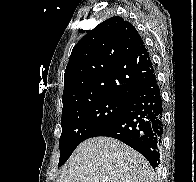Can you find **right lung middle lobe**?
Segmentation results:
<instances>
[{
  "instance_id": "1",
  "label": "right lung middle lobe",
  "mask_w": 196,
  "mask_h": 182,
  "mask_svg": "<svg viewBox=\"0 0 196 182\" xmlns=\"http://www.w3.org/2000/svg\"><path fill=\"white\" fill-rule=\"evenodd\" d=\"M128 101L100 97L62 112L58 167L67 161L82 141L90 138L99 128L121 113Z\"/></svg>"
}]
</instances>
